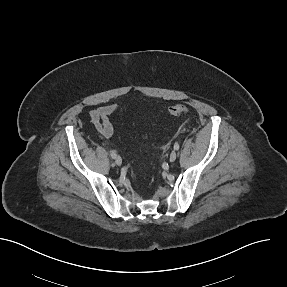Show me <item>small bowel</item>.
Returning a JSON list of instances; mask_svg holds the SVG:
<instances>
[{
    "label": "small bowel",
    "instance_id": "c3829d8e",
    "mask_svg": "<svg viewBox=\"0 0 287 287\" xmlns=\"http://www.w3.org/2000/svg\"><path fill=\"white\" fill-rule=\"evenodd\" d=\"M119 107L116 104H108L92 110L89 114L91 122L96 130L104 137L111 138L116 133V128L110 122L109 116L116 113Z\"/></svg>",
    "mask_w": 287,
    "mask_h": 287
}]
</instances>
